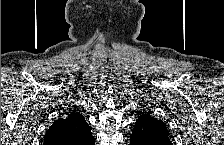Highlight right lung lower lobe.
<instances>
[{
	"instance_id": "1",
	"label": "right lung lower lobe",
	"mask_w": 224,
	"mask_h": 145,
	"mask_svg": "<svg viewBox=\"0 0 224 145\" xmlns=\"http://www.w3.org/2000/svg\"><path fill=\"white\" fill-rule=\"evenodd\" d=\"M95 143H94V140L92 141V143H91V145H94Z\"/></svg>"
}]
</instances>
